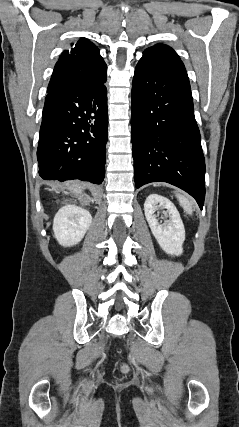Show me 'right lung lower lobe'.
Masks as SVG:
<instances>
[{
    "label": "right lung lower lobe",
    "mask_w": 239,
    "mask_h": 427,
    "mask_svg": "<svg viewBox=\"0 0 239 427\" xmlns=\"http://www.w3.org/2000/svg\"><path fill=\"white\" fill-rule=\"evenodd\" d=\"M106 78L107 70L47 91L37 150L43 179L102 183L108 129Z\"/></svg>",
    "instance_id": "right-lung-lower-lobe-1"
}]
</instances>
